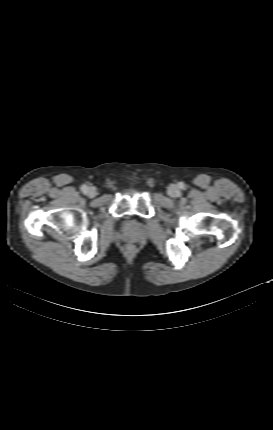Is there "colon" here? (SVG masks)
I'll list each match as a JSON object with an SVG mask.
<instances>
[{
  "instance_id": "5ec220e1",
  "label": "colon",
  "mask_w": 273,
  "mask_h": 430,
  "mask_svg": "<svg viewBox=\"0 0 273 430\" xmlns=\"http://www.w3.org/2000/svg\"><path fill=\"white\" fill-rule=\"evenodd\" d=\"M149 185H150V186H152V185H153V183H152V182H150V183H149ZM128 249H129V250H131V247L129 246V247H128Z\"/></svg>"
}]
</instances>
